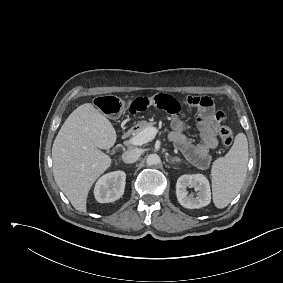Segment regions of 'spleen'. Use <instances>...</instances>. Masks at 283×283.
<instances>
[{
  "label": "spleen",
  "mask_w": 283,
  "mask_h": 283,
  "mask_svg": "<svg viewBox=\"0 0 283 283\" xmlns=\"http://www.w3.org/2000/svg\"><path fill=\"white\" fill-rule=\"evenodd\" d=\"M248 164V141L238 133L229 152L213 162L212 194L217 208H225L239 193L245 181Z\"/></svg>",
  "instance_id": "obj_1"
}]
</instances>
